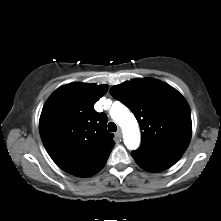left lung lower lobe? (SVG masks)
<instances>
[{
    "instance_id": "1",
    "label": "left lung lower lobe",
    "mask_w": 221,
    "mask_h": 221,
    "mask_svg": "<svg viewBox=\"0 0 221 221\" xmlns=\"http://www.w3.org/2000/svg\"><path fill=\"white\" fill-rule=\"evenodd\" d=\"M132 157L136 163L144 170L149 172H160L174 165L180 157L152 158L132 152Z\"/></svg>"
}]
</instances>
